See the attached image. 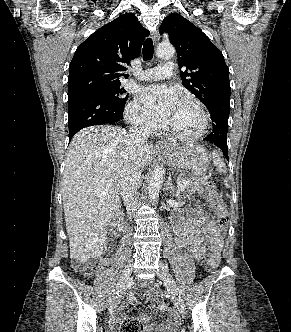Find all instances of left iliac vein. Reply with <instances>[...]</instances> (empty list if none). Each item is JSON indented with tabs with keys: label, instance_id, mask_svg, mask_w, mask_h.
<instances>
[{
	"label": "left iliac vein",
	"instance_id": "1",
	"mask_svg": "<svg viewBox=\"0 0 291 332\" xmlns=\"http://www.w3.org/2000/svg\"><path fill=\"white\" fill-rule=\"evenodd\" d=\"M158 276L166 285L177 309L179 310V312L182 315H184L185 314V304H184V300L181 296L180 290H179L173 276L169 272L168 268L163 263H160V270L158 272Z\"/></svg>",
	"mask_w": 291,
	"mask_h": 332
}]
</instances>
